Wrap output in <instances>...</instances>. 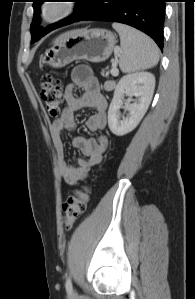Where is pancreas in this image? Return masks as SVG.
<instances>
[{
    "label": "pancreas",
    "mask_w": 195,
    "mask_h": 299,
    "mask_svg": "<svg viewBox=\"0 0 195 299\" xmlns=\"http://www.w3.org/2000/svg\"><path fill=\"white\" fill-rule=\"evenodd\" d=\"M115 81H106L105 84H104V89L106 91H111L115 88Z\"/></svg>",
    "instance_id": "1"
}]
</instances>
